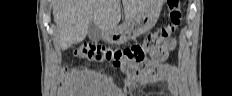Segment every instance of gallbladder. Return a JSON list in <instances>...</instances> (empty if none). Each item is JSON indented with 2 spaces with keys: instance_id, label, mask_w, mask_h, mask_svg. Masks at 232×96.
<instances>
[{
  "instance_id": "gallbladder-1",
  "label": "gallbladder",
  "mask_w": 232,
  "mask_h": 96,
  "mask_svg": "<svg viewBox=\"0 0 232 96\" xmlns=\"http://www.w3.org/2000/svg\"><path fill=\"white\" fill-rule=\"evenodd\" d=\"M88 38L92 41H98L102 38V31L94 21H90L88 25Z\"/></svg>"
}]
</instances>
